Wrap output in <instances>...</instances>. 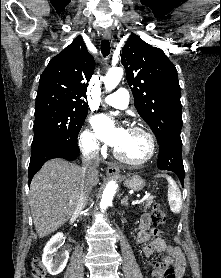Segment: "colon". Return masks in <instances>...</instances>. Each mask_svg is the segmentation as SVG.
Listing matches in <instances>:
<instances>
[{
  "mask_svg": "<svg viewBox=\"0 0 221 278\" xmlns=\"http://www.w3.org/2000/svg\"><path fill=\"white\" fill-rule=\"evenodd\" d=\"M150 220L154 225H160L165 220L164 212L159 203H155L150 211ZM33 278H50L45 267L39 258H35L32 262ZM176 272L172 268H167L164 271V278H177Z\"/></svg>",
  "mask_w": 221,
  "mask_h": 278,
  "instance_id": "colon-1",
  "label": "colon"
}]
</instances>
